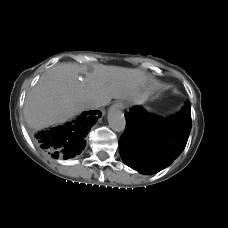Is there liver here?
<instances>
[{
    "label": "liver",
    "instance_id": "1",
    "mask_svg": "<svg viewBox=\"0 0 228 228\" xmlns=\"http://www.w3.org/2000/svg\"><path fill=\"white\" fill-rule=\"evenodd\" d=\"M151 82L139 69L99 64L88 72L76 63L57 64L26 96L24 117L30 127L42 129L88 109L86 102L90 100L101 106L113 98L141 104L153 89Z\"/></svg>",
    "mask_w": 228,
    "mask_h": 228
}]
</instances>
